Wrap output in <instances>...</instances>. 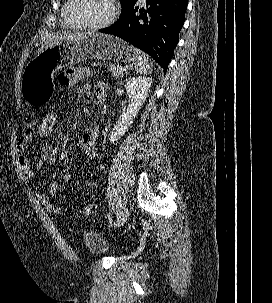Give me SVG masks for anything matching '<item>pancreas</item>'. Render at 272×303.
<instances>
[{"label":"pancreas","instance_id":"pancreas-1","mask_svg":"<svg viewBox=\"0 0 272 303\" xmlns=\"http://www.w3.org/2000/svg\"><path fill=\"white\" fill-rule=\"evenodd\" d=\"M93 66H97V64H93ZM123 68V66L121 65H113L110 64L108 66V70L112 72V76L119 78V77H123L127 72L126 71H122L121 69Z\"/></svg>","mask_w":272,"mask_h":303}]
</instances>
